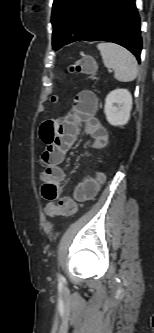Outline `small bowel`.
I'll return each instance as SVG.
<instances>
[{"label":"small bowel","mask_w":154,"mask_h":333,"mask_svg":"<svg viewBox=\"0 0 154 333\" xmlns=\"http://www.w3.org/2000/svg\"><path fill=\"white\" fill-rule=\"evenodd\" d=\"M97 110V96L92 91L83 90L75 96L72 111L65 118L50 119L41 124L39 135L45 149L41 156L43 170L40 179L41 193L46 200H56L62 192L65 173L60 164L74 143L81 126L90 138L94 150L100 151L108 145L109 134L96 118ZM103 179L104 175L99 174L96 179L85 180L76 187L74 197L78 201L92 198Z\"/></svg>","instance_id":"1"}]
</instances>
